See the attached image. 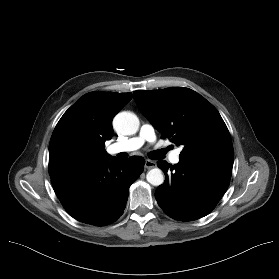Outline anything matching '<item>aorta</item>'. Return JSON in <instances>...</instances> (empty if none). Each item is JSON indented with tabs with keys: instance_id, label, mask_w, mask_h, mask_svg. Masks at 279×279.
<instances>
[{
	"instance_id": "obj_1",
	"label": "aorta",
	"mask_w": 279,
	"mask_h": 279,
	"mask_svg": "<svg viewBox=\"0 0 279 279\" xmlns=\"http://www.w3.org/2000/svg\"><path fill=\"white\" fill-rule=\"evenodd\" d=\"M113 125L118 133L133 135L139 129V119L134 113L123 111L115 116ZM146 179L153 186H159L164 182L163 173L159 168L151 169L147 173Z\"/></svg>"
}]
</instances>
